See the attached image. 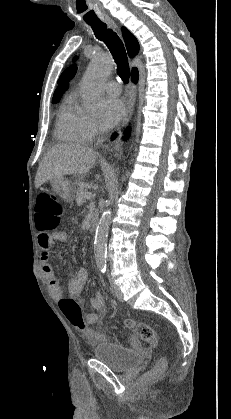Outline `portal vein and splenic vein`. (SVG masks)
<instances>
[{"label":"portal vein and splenic vein","instance_id":"obj_1","mask_svg":"<svg viewBox=\"0 0 231 419\" xmlns=\"http://www.w3.org/2000/svg\"><path fill=\"white\" fill-rule=\"evenodd\" d=\"M85 198L86 199H91L92 198V193H90V192H87V193H85Z\"/></svg>","mask_w":231,"mask_h":419}]
</instances>
